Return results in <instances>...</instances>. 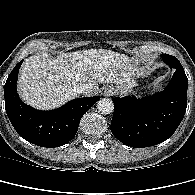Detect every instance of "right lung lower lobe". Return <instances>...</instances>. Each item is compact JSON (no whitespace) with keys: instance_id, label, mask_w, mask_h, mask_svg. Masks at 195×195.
Returning <instances> with one entry per match:
<instances>
[{"instance_id":"98d812e1","label":"right lung lower lobe","mask_w":195,"mask_h":195,"mask_svg":"<svg viewBox=\"0 0 195 195\" xmlns=\"http://www.w3.org/2000/svg\"><path fill=\"white\" fill-rule=\"evenodd\" d=\"M20 61L5 83V109L16 132L28 142L47 148L59 147L71 141L77 133L82 116L99 96L74 99L64 106L41 111L24 104L18 97L16 83Z\"/></svg>"}]
</instances>
